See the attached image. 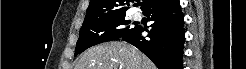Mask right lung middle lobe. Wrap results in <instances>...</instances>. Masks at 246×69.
<instances>
[{
	"label": "right lung middle lobe",
	"mask_w": 246,
	"mask_h": 69,
	"mask_svg": "<svg viewBox=\"0 0 246 69\" xmlns=\"http://www.w3.org/2000/svg\"><path fill=\"white\" fill-rule=\"evenodd\" d=\"M124 15H113L100 20H84L79 39L75 48V56L87 48L113 40H118L127 31L133 29L130 21L124 20ZM127 25L125 28L121 26Z\"/></svg>",
	"instance_id": "obj_1"
}]
</instances>
